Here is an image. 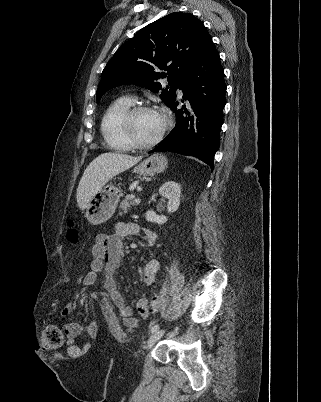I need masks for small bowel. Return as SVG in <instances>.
I'll return each instance as SVG.
<instances>
[{
    "mask_svg": "<svg viewBox=\"0 0 321 402\" xmlns=\"http://www.w3.org/2000/svg\"><path fill=\"white\" fill-rule=\"evenodd\" d=\"M134 235H142L149 246L156 244L157 234L153 230L142 227L132 221L119 222L116 224L112 233L97 236L90 250L91 262L89 271L85 274L83 280L85 285H91L95 282L100 272L104 273L103 285L105 292L113 305L118 309L124 324L130 328L137 326V319L133 316V309L125 304L116 286L114 277L120 266L122 257L124 256V239ZM159 268L160 262L158 259H151L144 265L143 278L146 284L150 285L155 281ZM139 306L147 308L146 299H140L137 302V307ZM72 312L73 306L71 304H66L60 309V315L64 318L68 317ZM141 315L148 317L149 313L147 312ZM98 326L99 323L97 321H94L92 326L85 327L76 322H68L64 325L68 354L72 356V358H83V350H89L91 348L89 341H93V336H88V341H80L77 343V340L83 334L98 335Z\"/></svg>",
    "mask_w": 321,
    "mask_h": 402,
    "instance_id": "small-bowel-1",
    "label": "small bowel"
}]
</instances>
